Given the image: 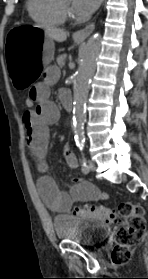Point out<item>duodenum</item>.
I'll return each mask as SVG.
<instances>
[{
	"mask_svg": "<svg viewBox=\"0 0 148 279\" xmlns=\"http://www.w3.org/2000/svg\"><path fill=\"white\" fill-rule=\"evenodd\" d=\"M63 106L65 107V109L67 111H71L72 110V100L69 97H64L61 99Z\"/></svg>",
	"mask_w": 148,
	"mask_h": 279,
	"instance_id": "duodenum-1",
	"label": "duodenum"
}]
</instances>
